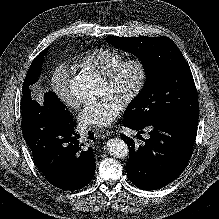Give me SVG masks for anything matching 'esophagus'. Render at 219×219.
I'll return each mask as SVG.
<instances>
[{"label":"esophagus","mask_w":219,"mask_h":219,"mask_svg":"<svg viewBox=\"0 0 219 219\" xmlns=\"http://www.w3.org/2000/svg\"><path fill=\"white\" fill-rule=\"evenodd\" d=\"M95 133L100 138H106L110 134V132L108 130H106V129H99Z\"/></svg>","instance_id":"esophagus-1"}]
</instances>
